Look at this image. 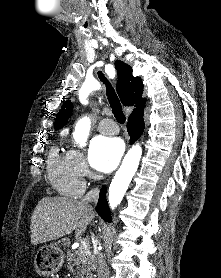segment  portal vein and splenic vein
I'll return each mask as SVG.
<instances>
[{
  "instance_id": "obj_1",
  "label": "portal vein and splenic vein",
  "mask_w": 221,
  "mask_h": 278,
  "mask_svg": "<svg viewBox=\"0 0 221 278\" xmlns=\"http://www.w3.org/2000/svg\"><path fill=\"white\" fill-rule=\"evenodd\" d=\"M79 248H80L81 251L88 250L89 245H88V243H87V241L85 239L80 241V247Z\"/></svg>"
}]
</instances>
